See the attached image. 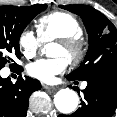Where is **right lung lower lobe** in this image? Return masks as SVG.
I'll use <instances>...</instances> for the list:
<instances>
[{
	"label": "right lung lower lobe",
	"instance_id": "1",
	"mask_svg": "<svg viewBox=\"0 0 117 117\" xmlns=\"http://www.w3.org/2000/svg\"><path fill=\"white\" fill-rule=\"evenodd\" d=\"M17 71L21 73L23 68L17 66ZM41 89L39 81L30 77H18L15 84L10 78L0 77V117H26L30 95Z\"/></svg>",
	"mask_w": 117,
	"mask_h": 117
}]
</instances>
